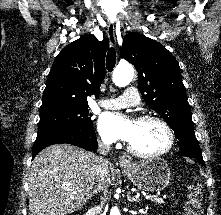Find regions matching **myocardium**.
Segmentation results:
<instances>
[{
	"label": "myocardium",
	"instance_id": "f54148a6",
	"mask_svg": "<svg viewBox=\"0 0 221 215\" xmlns=\"http://www.w3.org/2000/svg\"><path fill=\"white\" fill-rule=\"evenodd\" d=\"M139 122H145V121H155L158 122L163 129L166 132V136H167V144L166 146L156 152H151V153H146V152H141L137 149H135L130 143L127 144V148L129 150V152H131L132 154L141 157V158H155V157H159L162 156L166 153H168L174 146L175 143V135L174 132L171 128V126L167 123L166 120H164L162 117L157 116V115H151V114H147V115H142L138 118Z\"/></svg>",
	"mask_w": 221,
	"mask_h": 215
}]
</instances>
